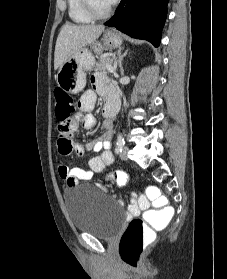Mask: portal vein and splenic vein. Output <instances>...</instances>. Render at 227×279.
Segmentation results:
<instances>
[{"instance_id": "portal-vein-and-splenic-vein-1", "label": "portal vein and splenic vein", "mask_w": 227, "mask_h": 279, "mask_svg": "<svg viewBox=\"0 0 227 279\" xmlns=\"http://www.w3.org/2000/svg\"><path fill=\"white\" fill-rule=\"evenodd\" d=\"M107 70H108L110 73H114V71H115L114 67H113V66H110V65L107 66Z\"/></svg>"}]
</instances>
